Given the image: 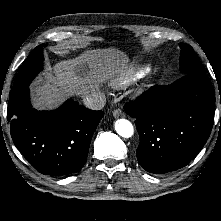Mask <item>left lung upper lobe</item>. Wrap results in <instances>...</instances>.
Segmentation results:
<instances>
[{"instance_id":"obj_1","label":"left lung upper lobe","mask_w":221,"mask_h":221,"mask_svg":"<svg viewBox=\"0 0 221 221\" xmlns=\"http://www.w3.org/2000/svg\"><path fill=\"white\" fill-rule=\"evenodd\" d=\"M180 71L182 75L194 74L206 76L203 66L196 56L193 48L185 43H180Z\"/></svg>"}]
</instances>
